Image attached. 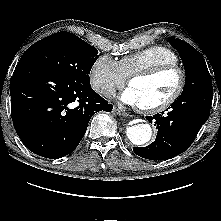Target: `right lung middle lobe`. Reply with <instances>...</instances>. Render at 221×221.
<instances>
[{
	"label": "right lung middle lobe",
	"mask_w": 221,
	"mask_h": 221,
	"mask_svg": "<svg viewBox=\"0 0 221 221\" xmlns=\"http://www.w3.org/2000/svg\"><path fill=\"white\" fill-rule=\"evenodd\" d=\"M98 58V51L69 32L50 35L29 47L19 62L43 66L63 78L90 85L89 73Z\"/></svg>",
	"instance_id": "dd1d6c3e"
}]
</instances>
